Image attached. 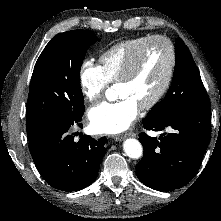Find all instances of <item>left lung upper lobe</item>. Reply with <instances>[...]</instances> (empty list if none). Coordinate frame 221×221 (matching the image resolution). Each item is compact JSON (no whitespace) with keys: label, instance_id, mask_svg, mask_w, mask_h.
I'll use <instances>...</instances> for the list:
<instances>
[{"label":"left lung upper lobe","instance_id":"5c2ea615","mask_svg":"<svg viewBox=\"0 0 221 221\" xmlns=\"http://www.w3.org/2000/svg\"><path fill=\"white\" fill-rule=\"evenodd\" d=\"M173 81L165 98L154 105L147 117L161 120L170 116L178 105H200L209 101L198 68L185 43L178 38Z\"/></svg>","mask_w":221,"mask_h":221}]
</instances>
